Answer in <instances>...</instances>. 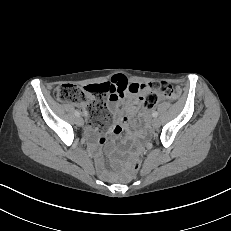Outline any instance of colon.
Segmentation results:
<instances>
[{"instance_id": "colon-1", "label": "colon", "mask_w": 231, "mask_h": 231, "mask_svg": "<svg viewBox=\"0 0 231 231\" xmlns=\"http://www.w3.org/2000/svg\"><path fill=\"white\" fill-rule=\"evenodd\" d=\"M150 91L145 95L143 104L145 107H153L159 99V94L169 98L177 95V88L167 81L155 82L149 85ZM110 88L105 84H92L85 89L75 84H62L53 91V97L57 101H67L80 104L83 97H86L85 112L89 115L90 121L96 127H103L111 120V113L106 108L103 98H107ZM141 167V155L136 153L131 160L130 170L136 174Z\"/></svg>"}]
</instances>
